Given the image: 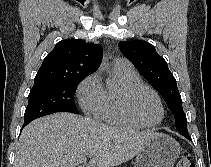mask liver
<instances>
[{
    "label": "liver",
    "instance_id": "liver-1",
    "mask_svg": "<svg viewBox=\"0 0 211 167\" xmlns=\"http://www.w3.org/2000/svg\"><path fill=\"white\" fill-rule=\"evenodd\" d=\"M153 130L111 127L71 113L32 121L22 131L14 167H113L132 159L154 136Z\"/></svg>",
    "mask_w": 211,
    "mask_h": 167
}]
</instances>
